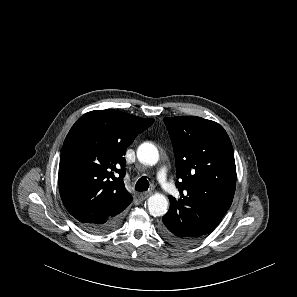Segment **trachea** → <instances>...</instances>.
Masks as SVG:
<instances>
[{"mask_svg": "<svg viewBox=\"0 0 297 297\" xmlns=\"http://www.w3.org/2000/svg\"><path fill=\"white\" fill-rule=\"evenodd\" d=\"M149 188V181L145 177H141L136 185H135V190L137 191H146Z\"/></svg>", "mask_w": 297, "mask_h": 297, "instance_id": "obj_1", "label": "trachea"}]
</instances>
